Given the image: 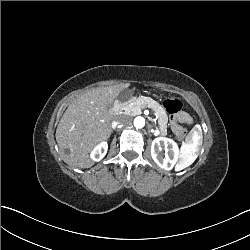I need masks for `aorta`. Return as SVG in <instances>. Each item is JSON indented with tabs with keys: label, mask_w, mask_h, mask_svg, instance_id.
Instances as JSON below:
<instances>
[{
	"label": "aorta",
	"mask_w": 250,
	"mask_h": 250,
	"mask_svg": "<svg viewBox=\"0 0 250 250\" xmlns=\"http://www.w3.org/2000/svg\"><path fill=\"white\" fill-rule=\"evenodd\" d=\"M145 125V118L142 116H136L134 118V126L136 128H142Z\"/></svg>",
	"instance_id": "obj_1"
}]
</instances>
